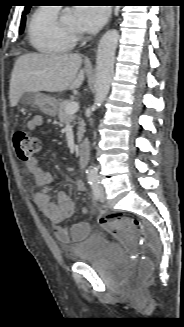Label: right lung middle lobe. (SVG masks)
<instances>
[{"instance_id":"1","label":"right lung middle lobe","mask_w":184,"mask_h":327,"mask_svg":"<svg viewBox=\"0 0 184 327\" xmlns=\"http://www.w3.org/2000/svg\"><path fill=\"white\" fill-rule=\"evenodd\" d=\"M24 25H25V15H23L21 19L20 34L23 32Z\"/></svg>"}]
</instances>
